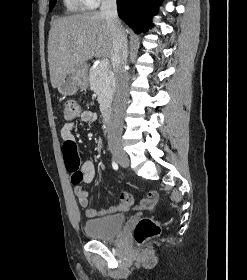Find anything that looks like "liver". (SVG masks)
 I'll list each match as a JSON object with an SVG mask.
<instances>
[{
  "mask_svg": "<svg viewBox=\"0 0 247 280\" xmlns=\"http://www.w3.org/2000/svg\"><path fill=\"white\" fill-rule=\"evenodd\" d=\"M111 32L101 12L92 11L56 19L48 39L50 81L57 88L69 71L92 57L110 56Z\"/></svg>",
  "mask_w": 247,
  "mask_h": 280,
  "instance_id": "1",
  "label": "liver"
}]
</instances>
